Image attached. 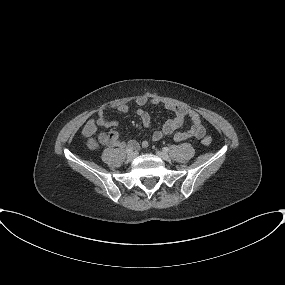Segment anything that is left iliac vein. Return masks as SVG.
Masks as SVG:
<instances>
[{
    "label": "left iliac vein",
    "mask_w": 285,
    "mask_h": 285,
    "mask_svg": "<svg viewBox=\"0 0 285 285\" xmlns=\"http://www.w3.org/2000/svg\"><path fill=\"white\" fill-rule=\"evenodd\" d=\"M156 155L161 158L162 160H168L169 159V156L167 153L165 152H162V151H157L156 152Z\"/></svg>",
    "instance_id": "1"
}]
</instances>
